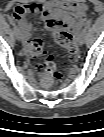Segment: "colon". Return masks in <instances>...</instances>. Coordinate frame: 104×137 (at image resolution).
I'll use <instances>...</instances> for the list:
<instances>
[{
    "label": "colon",
    "mask_w": 104,
    "mask_h": 137,
    "mask_svg": "<svg viewBox=\"0 0 104 137\" xmlns=\"http://www.w3.org/2000/svg\"><path fill=\"white\" fill-rule=\"evenodd\" d=\"M51 34L54 40L66 49L71 58L76 56L78 48L70 30L62 26H54L51 28ZM29 56L31 64L40 76L42 86L49 87L59 79L54 59L44 51L43 41L41 39L30 41Z\"/></svg>",
    "instance_id": "obj_1"
}]
</instances>
